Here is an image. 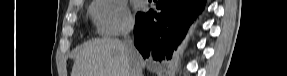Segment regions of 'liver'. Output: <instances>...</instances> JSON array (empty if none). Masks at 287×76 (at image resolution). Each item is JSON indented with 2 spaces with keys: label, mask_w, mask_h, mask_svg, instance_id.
Returning <instances> with one entry per match:
<instances>
[{
  "label": "liver",
  "mask_w": 287,
  "mask_h": 76,
  "mask_svg": "<svg viewBox=\"0 0 287 76\" xmlns=\"http://www.w3.org/2000/svg\"><path fill=\"white\" fill-rule=\"evenodd\" d=\"M141 67L145 62L137 51ZM131 65L124 43L102 38L89 41L76 53L71 76H130Z\"/></svg>",
  "instance_id": "1"
}]
</instances>
